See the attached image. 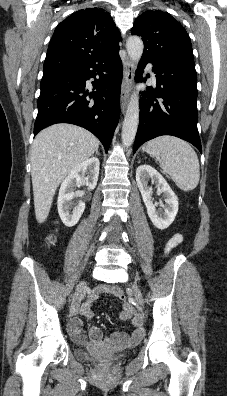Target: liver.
I'll use <instances>...</instances> for the list:
<instances>
[{
    "label": "liver",
    "instance_id": "1",
    "mask_svg": "<svg viewBox=\"0 0 227 396\" xmlns=\"http://www.w3.org/2000/svg\"><path fill=\"white\" fill-rule=\"evenodd\" d=\"M99 148L89 131L72 124H55L42 130L31 149V176L36 220L43 223L59 184Z\"/></svg>",
    "mask_w": 227,
    "mask_h": 396
}]
</instances>
